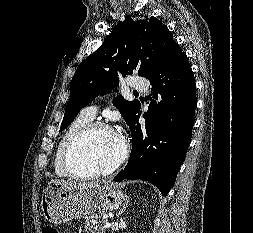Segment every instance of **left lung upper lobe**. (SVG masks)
<instances>
[{
  "label": "left lung upper lobe",
  "mask_w": 253,
  "mask_h": 233,
  "mask_svg": "<svg viewBox=\"0 0 253 233\" xmlns=\"http://www.w3.org/2000/svg\"><path fill=\"white\" fill-rule=\"evenodd\" d=\"M176 42L168 28L155 17L132 19L127 16L106 37L103 44L78 66L70 84V99L60 131L78 112L99 95L119 85V78L138 72L148 78L156 73ZM114 105L130 125L139 102L126 101L122 96Z\"/></svg>",
  "instance_id": "obj_1"
}]
</instances>
